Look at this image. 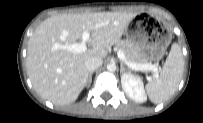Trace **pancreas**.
I'll list each match as a JSON object with an SVG mask.
<instances>
[{
    "label": "pancreas",
    "instance_id": "1",
    "mask_svg": "<svg viewBox=\"0 0 203 123\" xmlns=\"http://www.w3.org/2000/svg\"><path fill=\"white\" fill-rule=\"evenodd\" d=\"M116 48L125 54V57L129 62L136 64L146 63V60L144 59V56L141 53V51L131 41L129 40L119 41L118 43H116Z\"/></svg>",
    "mask_w": 203,
    "mask_h": 123
}]
</instances>
